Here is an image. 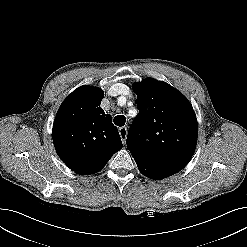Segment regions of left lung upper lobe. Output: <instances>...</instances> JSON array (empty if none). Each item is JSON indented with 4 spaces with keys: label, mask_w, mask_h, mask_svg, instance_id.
Masks as SVG:
<instances>
[{
    "label": "left lung upper lobe",
    "mask_w": 247,
    "mask_h": 247,
    "mask_svg": "<svg viewBox=\"0 0 247 247\" xmlns=\"http://www.w3.org/2000/svg\"><path fill=\"white\" fill-rule=\"evenodd\" d=\"M139 114L127 135L134 159L184 168L197 144L198 124L187 98L163 81L148 78L133 84Z\"/></svg>",
    "instance_id": "left-lung-upper-lobe-1"
}]
</instances>
